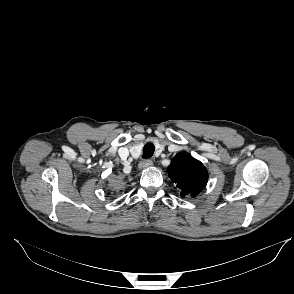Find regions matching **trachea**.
Returning <instances> with one entry per match:
<instances>
[{"label": "trachea", "mask_w": 294, "mask_h": 294, "mask_svg": "<svg viewBox=\"0 0 294 294\" xmlns=\"http://www.w3.org/2000/svg\"><path fill=\"white\" fill-rule=\"evenodd\" d=\"M155 147L152 143H147L143 148L142 158H150L154 154Z\"/></svg>", "instance_id": "obj_1"}]
</instances>
